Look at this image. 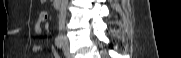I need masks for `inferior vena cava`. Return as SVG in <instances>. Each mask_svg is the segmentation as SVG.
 <instances>
[{
	"mask_svg": "<svg viewBox=\"0 0 181 58\" xmlns=\"http://www.w3.org/2000/svg\"><path fill=\"white\" fill-rule=\"evenodd\" d=\"M67 4H68V0H61L60 17H59V31H63L65 28Z\"/></svg>",
	"mask_w": 181,
	"mask_h": 58,
	"instance_id": "602c4592",
	"label": "inferior vena cava"
}]
</instances>
